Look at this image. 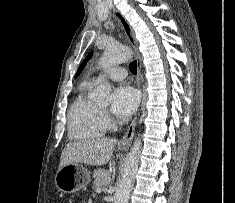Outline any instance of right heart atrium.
I'll list each match as a JSON object with an SVG mask.
<instances>
[{
	"mask_svg": "<svg viewBox=\"0 0 235 203\" xmlns=\"http://www.w3.org/2000/svg\"><path fill=\"white\" fill-rule=\"evenodd\" d=\"M101 116H102V119L105 122V124H107L109 122V117H108L107 113L104 111H101Z\"/></svg>",
	"mask_w": 235,
	"mask_h": 203,
	"instance_id": "right-heart-atrium-1",
	"label": "right heart atrium"
}]
</instances>
